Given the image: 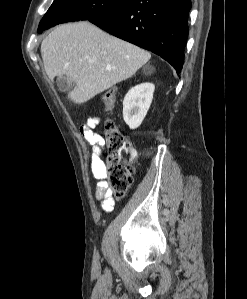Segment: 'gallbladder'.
I'll use <instances>...</instances> for the list:
<instances>
[{
  "label": "gallbladder",
  "instance_id": "1",
  "mask_svg": "<svg viewBox=\"0 0 247 299\" xmlns=\"http://www.w3.org/2000/svg\"><path fill=\"white\" fill-rule=\"evenodd\" d=\"M57 86L60 91L68 92L71 88V84L68 82V78L66 75H60L57 77Z\"/></svg>",
  "mask_w": 247,
  "mask_h": 299
}]
</instances>
